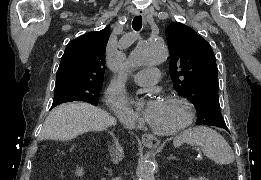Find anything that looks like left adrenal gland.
I'll return each mask as SVG.
<instances>
[{
  "label": "left adrenal gland",
  "instance_id": "left-adrenal-gland-1",
  "mask_svg": "<svg viewBox=\"0 0 261 180\" xmlns=\"http://www.w3.org/2000/svg\"><path fill=\"white\" fill-rule=\"evenodd\" d=\"M168 160H176V158H174V156H169Z\"/></svg>",
  "mask_w": 261,
  "mask_h": 180
}]
</instances>
